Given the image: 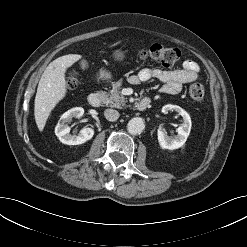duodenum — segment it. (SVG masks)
<instances>
[{"mask_svg": "<svg viewBox=\"0 0 247 247\" xmlns=\"http://www.w3.org/2000/svg\"><path fill=\"white\" fill-rule=\"evenodd\" d=\"M103 97L100 93H92L88 96L87 101L90 106L97 107L101 104ZM151 105V99L143 98L138 104L139 111L146 110Z\"/></svg>", "mask_w": 247, "mask_h": 247, "instance_id": "1", "label": "duodenum"}]
</instances>
